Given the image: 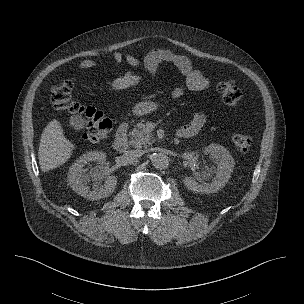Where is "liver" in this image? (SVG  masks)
Segmentation results:
<instances>
[{
	"mask_svg": "<svg viewBox=\"0 0 304 304\" xmlns=\"http://www.w3.org/2000/svg\"><path fill=\"white\" fill-rule=\"evenodd\" d=\"M139 76H125L112 82L115 90L126 89L139 82ZM75 145L65 136L61 124L56 119L49 122L42 132L38 150L39 165L42 172H48L63 165L71 157Z\"/></svg>",
	"mask_w": 304,
	"mask_h": 304,
	"instance_id": "liver-1",
	"label": "liver"
}]
</instances>
